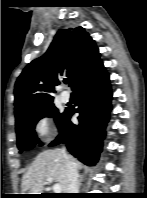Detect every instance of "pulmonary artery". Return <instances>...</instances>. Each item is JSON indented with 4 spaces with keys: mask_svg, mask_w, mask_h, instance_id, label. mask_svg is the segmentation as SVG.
I'll return each mask as SVG.
<instances>
[{
    "mask_svg": "<svg viewBox=\"0 0 147 198\" xmlns=\"http://www.w3.org/2000/svg\"><path fill=\"white\" fill-rule=\"evenodd\" d=\"M60 100L63 103H68L70 101V94L68 92H66V91H63L60 94Z\"/></svg>",
    "mask_w": 147,
    "mask_h": 198,
    "instance_id": "1",
    "label": "pulmonary artery"
}]
</instances>
